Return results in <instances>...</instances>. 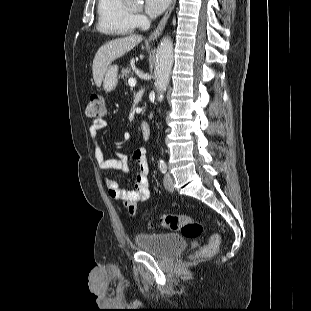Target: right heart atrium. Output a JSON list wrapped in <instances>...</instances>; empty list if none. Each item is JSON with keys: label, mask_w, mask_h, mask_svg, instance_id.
<instances>
[{"label": "right heart atrium", "mask_w": 311, "mask_h": 311, "mask_svg": "<svg viewBox=\"0 0 311 311\" xmlns=\"http://www.w3.org/2000/svg\"><path fill=\"white\" fill-rule=\"evenodd\" d=\"M135 21H137V22H142V21H143L142 16L136 15V16H135Z\"/></svg>", "instance_id": "right-heart-atrium-1"}]
</instances>
